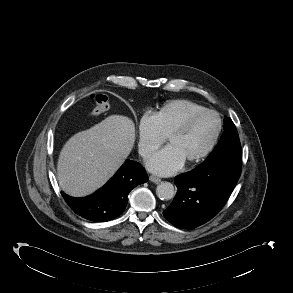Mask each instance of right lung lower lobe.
I'll list each match as a JSON object with an SVG mask.
<instances>
[{
	"label": "right lung lower lobe",
	"mask_w": 293,
	"mask_h": 293,
	"mask_svg": "<svg viewBox=\"0 0 293 293\" xmlns=\"http://www.w3.org/2000/svg\"><path fill=\"white\" fill-rule=\"evenodd\" d=\"M148 180L145 169L138 162L127 160L116 174L94 194L74 198L62 192L66 203L81 217L106 222L119 216L126 208L129 192Z\"/></svg>",
	"instance_id": "right-lung-lower-lobe-1"
}]
</instances>
